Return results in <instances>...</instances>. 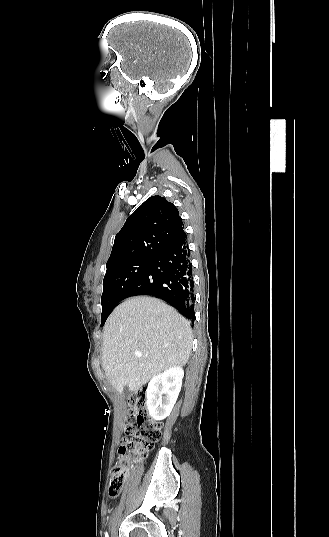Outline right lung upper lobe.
Wrapping results in <instances>:
<instances>
[{"label": "right lung upper lobe", "mask_w": 329, "mask_h": 537, "mask_svg": "<svg viewBox=\"0 0 329 537\" xmlns=\"http://www.w3.org/2000/svg\"><path fill=\"white\" fill-rule=\"evenodd\" d=\"M178 209L161 196L148 198L115 236L107 270L138 259H154L185 235Z\"/></svg>", "instance_id": "obj_1"}]
</instances>
